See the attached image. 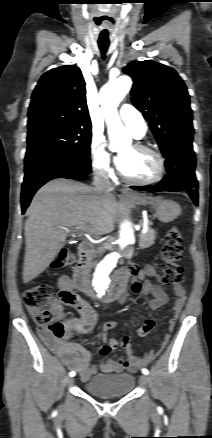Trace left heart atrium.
Segmentation results:
<instances>
[{
	"label": "left heart atrium",
	"mask_w": 212,
	"mask_h": 438,
	"mask_svg": "<svg viewBox=\"0 0 212 438\" xmlns=\"http://www.w3.org/2000/svg\"><path fill=\"white\" fill-rule=\"evenodd\" d=\"M117 164H118V166H119V168L121 169V167L123 166V164H124V159H123V157H119V158H117Z\"/></svg>",
	"instance_id": "39dd6f15"
}]
</instances>
